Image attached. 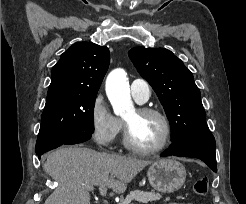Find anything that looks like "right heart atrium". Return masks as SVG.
Wrapping results in <instances>:
<instances>
[{"mask_svg": "<svg viewBox=\"0 0 246 204\" xmlns=\"http://www.w3.org/2000/svg\"><path fill=\"white\" fill-rule=\"evenodd\" d=\"M91 135L97 145L107 148L122 130V121L116 117L103 94H97L90 107Z\"/></svg>", "mask_w": 246, "mask_h": 204, "instance_id": "obj_1", "label": "right heart atrium"}]
</instances>
